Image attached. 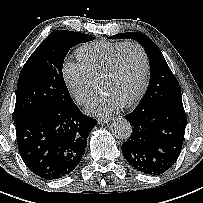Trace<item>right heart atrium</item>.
<instances>
[{
  "label": "right heart atrium",
  "mask_w": 203,
  "mask_h": 203,
  "mask_svg": "<svg viewBox=\"0 0 203 203\" xmlns=\"http://www.w3.org/2000/svg\"><path fill=\"white\" fill-rule=\"evenodd\" d=\"M62 75L68 90L81 105L85 104L96 90V80L78 62L66 60Z\"/></svg>",
  "instance_id": "obj_1"
}]
</instances>
